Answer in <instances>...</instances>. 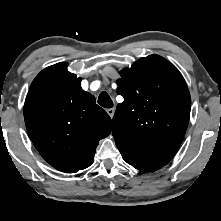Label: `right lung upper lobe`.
Here are the masks:
<instances>
[{"label": "right lung upper lobe", "mask_w": 221, "mask_h": 221, "mask_svg": "<svg viewBox=\"0 0 221 221\" xmlns=\"http://www.w3.org/2000/svg\"><path fill=\"white\" fill-rule=\"evenodd\" d=\"M66 62L42 70L24 104L29 136L46 162L75 173L89 167L99 140L111 133L109 115L81 88Z\"/></svg>", "instance_id": "1"}]
</instances>
